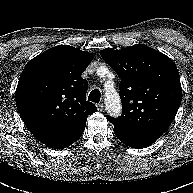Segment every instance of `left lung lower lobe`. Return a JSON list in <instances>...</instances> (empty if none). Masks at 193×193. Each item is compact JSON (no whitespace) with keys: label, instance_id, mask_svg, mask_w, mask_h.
<instances>
[{"label":"left lung lower lobe","instance_id":"left-lung-lower-lobe-1","mask_svg":"<svg viewBox=\"0 0 193 193\" xmlns=\"http://www.w3.org/2000/svg\"><path fill=\"white\" fill-rule=\"evenodd\" d=\"M116 137L132 148H143L155 142L162 134L159 132H128L114 128Z\"/></svg>","mask_w":193,"mask_h":193}]
</instances>
